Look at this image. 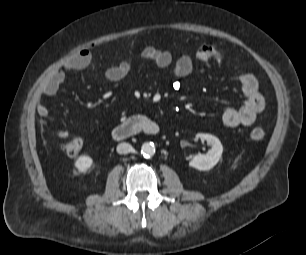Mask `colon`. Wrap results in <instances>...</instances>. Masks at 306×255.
Segmentation results:
<instances>
[{"label":"colon","instance_id":"1","mask_svg":"<svg viewBox=\"0 0 306 255\" xmlns=\"http://www.w3.org/2000/svg\"><path fill=\"white\" fill-rule=\"evenodd\" d=\"M252 140L260 141L265 137V130L261 126H255L250 131ZM83 147V141L75 138L65 145V152L67 155L74 157L80 153Z\"/></svg>","mask_w":306,"mask_h":255}]
</instances>
